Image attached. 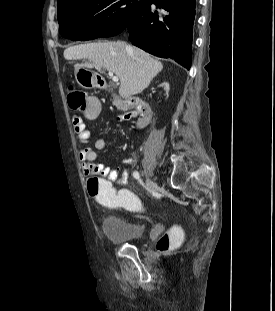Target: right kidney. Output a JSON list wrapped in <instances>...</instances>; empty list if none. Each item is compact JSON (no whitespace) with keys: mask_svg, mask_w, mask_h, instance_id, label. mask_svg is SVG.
Wrapping results in <instances>:
<instances>
[{"mask_svg":"<svg viewBox=\"0 0 275 311\" xmlns=\"http://www.w3.org/2000/svg\"><path fill=\"white\" fill-rule=\"evenodd\" d=\"M169 88H170L169 83L163 82L161 84H158V87L155 90H152V92H151L152 97H158L159 98V101L157 103V106L159 108H162L164 105H166L168 103Z\"/></svg>","mask_w":275,"mask_h":311,"instance_id":"ca27d5eb","label":"right kidney"}]
</instances>
